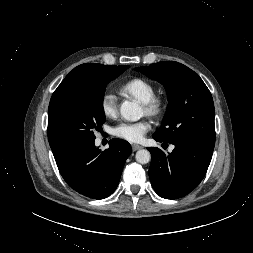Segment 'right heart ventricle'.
Listing matches in <instances>:
<instances>
[{"instance_id": "right-heart-ventricle-1", "label": "right heart ventricle", "mask_w": 253, "mask_h": 253, "mask_svg": "<svg viewBox=\"0 0 253 253\" xmlns=\"http://www.w3.org/2000/svg\"><path fill=\"white\" fill-rule=\"evenodd\" d=\"M120 91L122 94L134 97L142 103L155 95L153 84L143 78H133L126 81L121 86Z\"/></svg>"}]
</instances>
